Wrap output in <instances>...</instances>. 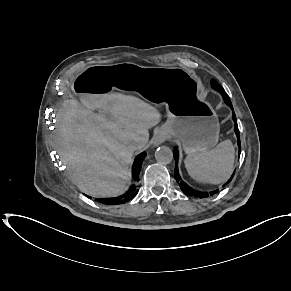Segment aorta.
Segmentation results:
<instances>
[{"label": "aorta", "mask_w": 291, "mask_h": 291, "mask_svg": "<svg viewBox=\"0 0 291 291\" xmlns=\"http://www.w3.org/2000/svg\"><path fill=\"white\" fill-rule=\"evenodd\" d=\"M155 158L161 164H168L173 159L172 150L167 146H161L156 150Z\"/></svg>", "instance_id": "aorta-1"}]
</instances>
